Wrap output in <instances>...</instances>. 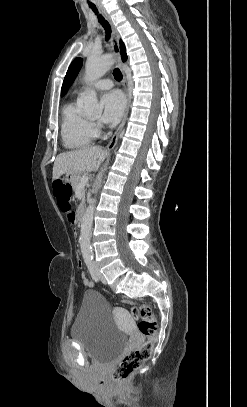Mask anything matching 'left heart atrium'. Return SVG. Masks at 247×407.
<instances>
[{
    "mask_svg": "<svg viewBox=\"0 0 247 407\" xmlns=\"http://www.w3.org/2000/svg\"><path fill=\"white\" fill-rule=\"evenodd\" d=\"M101 105V121L112 125L119 121L125 107V99L119 91H111L102 97Z\"/></svg>",
    "mask_w": 247,
    "mask_h": 407,
    "instance_id": "1",
    "label": "left heart atrium"
}]
</instances>
